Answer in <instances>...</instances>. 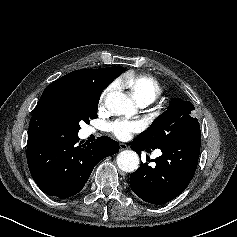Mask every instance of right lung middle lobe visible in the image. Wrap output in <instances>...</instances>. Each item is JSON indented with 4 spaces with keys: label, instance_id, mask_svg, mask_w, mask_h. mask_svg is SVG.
Returning <instances> with one entry per match:
<instances>
[{
    "label": "right lung middle lobe",
    "instance_id": "obj_1",
    "mask_svg": "<svg viewBox=\"0 0 237 237\" xmlns=\"http://www.w3.org/2000/svg\"><path fill=\"white\" fill-rule=\"evenodd\" d=\"M124 68L115 67L93 69L98 91L90 96H61L57 109V133L60 135H77L80 121L88 123L90 119L97 117V109L100 95L116 77H118Z\"/></svg>",
    "mask_w": 237,
    "mask_h": 237
}]
</instances>
